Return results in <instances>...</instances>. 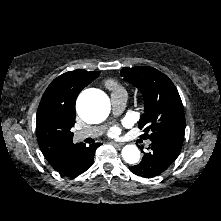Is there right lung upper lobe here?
I'll use <instances>...</instances> for the list:
<instances>
[{"label":"right lung upper lobe","instance_id":"1","mask_svg":"<svg viewBox=\"0 0 221 221\" xmlns=\"http://www.w3.org/2000/svg\"><path fill=\"white\" fill-rule=\"evenodd\" d=\"M98 75L99 72L86 70L66 72L44 92L37 111L36 134L40 149L52 166L63 159L65 151L83 144L72 141L75 102L80 91Z\"/></svg>","mask_w":221,"mask_h":221}]
</instances>
